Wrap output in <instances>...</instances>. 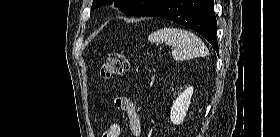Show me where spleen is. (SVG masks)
Returning a JSON list of instances; mask_svg holds the SVG:
<instances>
[{"label":"spleen","mask_w":280,"mask_h":137,"mask_svg":"<svg viewBox=\"0 0 280 137\" xmlns=\"http://www.w3.org/2000/svg\"><path fill=\"white\" fill-rule=\"evenodd\" d=\"M148 39L152 43H165L172 47V56L175 60L182 61L204 57L209 53L203 41L185 29L165 27L151 33Z\"/></svg>","instance_id":"3e777b00"}]
</instances>
